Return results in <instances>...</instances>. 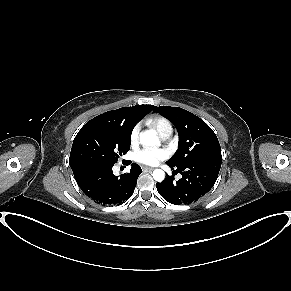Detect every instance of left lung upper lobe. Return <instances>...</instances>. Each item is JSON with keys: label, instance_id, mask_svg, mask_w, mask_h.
I'll list each match as a JSON object with an SVG mask.
<instances>
[{"label": "left lung upper lobe", "instance_id": "obj_1", "mask_svg": "<svg viewBox=\"0 0 291 291\" xmlns=\"http://www.w3.org/2000/svg\"><path fill=\"white\" fill-rule=\"evenodd\" d=\"M154 111L168 118L179 135L178 150L167 164L180 167L199 160L222 161L217 136L202 119L179 107L155 106Z\"/></svg>", "mask_w": 291, "mask_h": 291}]
</instances>
